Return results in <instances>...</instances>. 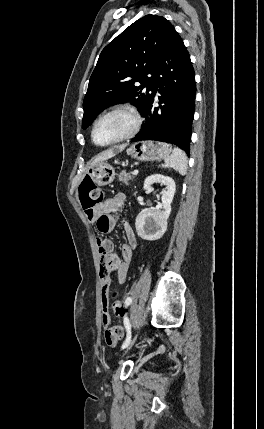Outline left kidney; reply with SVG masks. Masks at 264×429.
<instances>
[{"label": "left kidney", "instance_id": "obj_1", "mask_svg": "<svg viewBox=\"0 0 264 429\" xmlns=\"http://www.w3.org/2000/svg\"><path fill=\"white\" fill-rule=\"evenodd\" d=\"M154 183H161L166 186V191L161 197L162 209H143L135 221L138 236L148 241L158 240L166 232L167 219L171 213V203L176 190L174 180L161 174L148 176L144 181V190L150 189Z\"/></svg>", "mask_w": 264, "mask_h": 429}]
</instances>
